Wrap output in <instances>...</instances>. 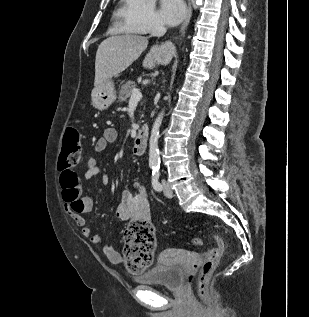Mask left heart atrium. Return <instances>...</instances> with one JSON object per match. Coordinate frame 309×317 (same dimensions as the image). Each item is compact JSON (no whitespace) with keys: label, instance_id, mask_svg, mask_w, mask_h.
Segmentation results:
<instances>
[{"label":"left heart atrium","instance_id":"39dd6f15","mask_svg":"<svg viewBox=\"0 0 309 317\" xmlns=\"http://www.w3.org/2000/svg\"><path fill=\"white\" fill-rule=\"evenodd\" d=\"M160 14L169 25H176L182 21L186 14L184 0H161Z\"/></svg>","mask_w":309,"mask_h":317}]
</instances>
